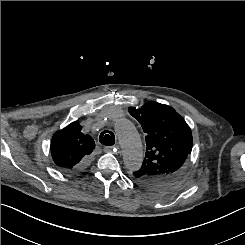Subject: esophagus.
<instances>
[{
  "instance_id": "1",
  "label": "esophagus",
  "mask_w": 245,
  "mask_h": 245,
  "mask_svg": "<svg viewBox=\"0 0 245 245\" xmlns=\"http://www.w3.org/2000/svg\"><path fill=\"white\" fill-rule=\"evenodd\" d=\"M114 149H116V148H114L112 146H105L104 147V152L109 153V152H112Z\"/></svg>"
}]
</instances>
